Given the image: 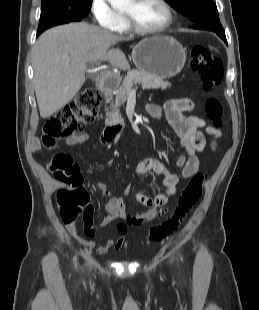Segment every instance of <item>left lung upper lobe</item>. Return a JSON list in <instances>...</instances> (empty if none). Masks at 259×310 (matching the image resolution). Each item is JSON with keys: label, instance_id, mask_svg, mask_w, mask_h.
Returning <instances> with one entry per match:
<instances>
[{"label": "left lung upper lobe", "instance_id": "left-lung-upper-lobe-1", "mask_svg": "<svg viewBox=\"0 0 259 310\" xmlns=\"http://www.w3.org/2000/svg\"><path fill=\"white\" fill-rule=\"evenodd\" d=\"M173 8L192 21L200 23L193 28L212 30L218 35L225 32L220 23L216 4L213 0H165Z\"/></svg>", "mask_w": 259, "mask_h": 310}]
</instances>
